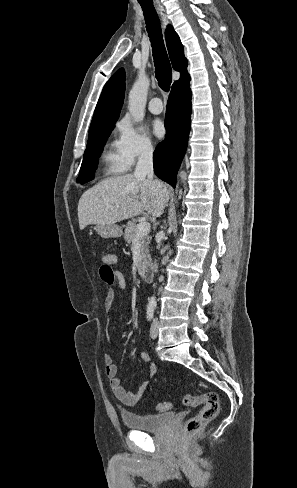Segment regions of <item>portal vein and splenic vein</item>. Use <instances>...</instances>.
I'll use <instances>...</instances> for the list:
<instances>
[{
	"instance_id": "18ae733b",
	"label": "portal vein and splenic vein",
	"mask_w": 297,
	"mask_h": 488,
	"mask_svg": "<svg viewBox=\"0 0 297 488\" xmlns=\"http://www.w3.org/2000/svg\"><path fill=\"white\" fill-rule=\"evenodd\" d=\"M150 228H151V225L149 222H140L137 226H136V236H141V235H145L147 234L148 232H150Z\"/></svg>"
}]
</instances>
